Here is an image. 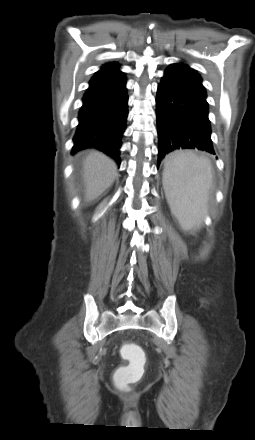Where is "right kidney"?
Wrapping results in <instances>:
<instances>
[{
	"label": "right kidney",
	"instance_id": "ca27d5eb",
	"mask_svg": "<svg viewBox=\"0 0 255 440\" xmlns=\"http://www.w3.org/2000/svg\"><path fill=\"white\" fill-rule=\"evenodd\" d=\"M102 207H103V204L100 205V207H99V211L102 209Z\"/></svg>",
	"mask_w": 255,
	"mask_h": 440
}]
</instances>
